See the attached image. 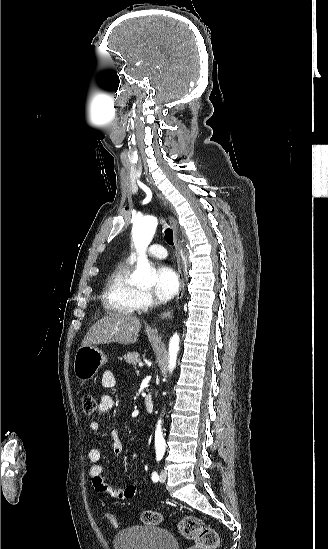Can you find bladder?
<instances>
[{
  "label": "bladder",
  "instance_id": "obj_1",
  "mask_svg": "<svg viewBox=\"0 0 328 549\" xmlns=\"http://www.w3.org/2000/svg\"><path fill=\"white\" fill-rule=\"evenodd\" d=\"M114 546L116 549H177L173 534L152 526L125 530L114 537Z\"/></svg>",
  "mask_w": 328,
  "mask_h": 549
}]
</instances>
